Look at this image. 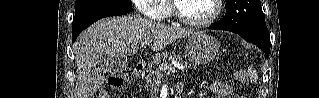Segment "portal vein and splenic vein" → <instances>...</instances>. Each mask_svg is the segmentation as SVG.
Here are the masks:
<instances>
[{
    "label": "portal vein and splenic vein",
    "instance_id": "1",
    "mask_svg": "<svg viewBox=\"0 0 319 98\" xmlns=\"http://www.w3.org/2000/svg\"><path fill=\"white\" fill-rule=\"evenodd\" d=\"M152 42V40H145V42L143 43V45H149L150 43ZM175 66H171V65H168V64H161L159 66V70H162V71H168V72H171V73H175L176 70H175Z\"/></svg>",
    "mask_w": 319,
    "mask_h": 98
}]
</instances>
